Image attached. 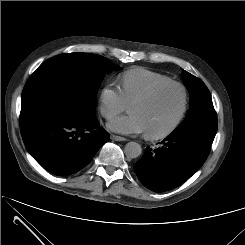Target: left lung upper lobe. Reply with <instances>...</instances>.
Listing matches in <instances>:
<instances>
[{
	"instance_id": "1",
	"label": "left lung upper lobe",
	"mask_w": 245,
	"mask_h": 245,
	"mask_svg": "<svg viewBox=\"0 0 245 245\" xmlns=\"http://www.w3.org/2000/svg\"><path fill=\"white\" fill-rule=\"evenodd\" d=\"M182 76L190 93V110L171 135L193 134L212 142L217 132V115L210 92L202 80L187 71Z\"/></svg>"
}]
</instances>
